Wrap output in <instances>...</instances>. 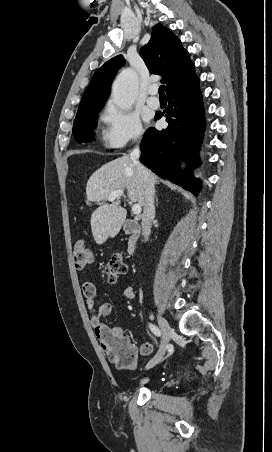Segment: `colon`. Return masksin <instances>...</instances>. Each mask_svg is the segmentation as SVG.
I'll return each mask as SVG.
<instances>
[{
	"label": "colon",
	"mask_w": 272,
	"mask_h": 452,
	"mask_svg": "<svg viewBox=\"0 0 272 452\" xmlns=\"http://www.w3.org/2000/svg\"><path fill=\"white\" fill-rule=\"evenodd\" d=\"M74 265L77 269H83L94 261V253L87 243L78 240L73 246ZM127 272V265L120 254L113 255L104 267L108 281L113 283L117 276ZM105 351L108 358L117 368L124 370H133L136 367L137 360L134 347L125 336H110L106 340Z\"/></svg>",
	"instance_id": "1"
}]
</instances>
